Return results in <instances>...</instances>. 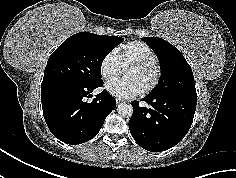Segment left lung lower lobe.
<instances>
[{
    "label": "left lung lower lobe",
    "mask_w": 236,
    "mask_h": 178,
    "mask_svg": "<svg viewBox=\"0 0 236 178\" xmlns=\"http://www.w3.org/2000/svg\"><path fill=\"white\" fill-rule=\"evenodd\" d=\"M151 108L131 102L133 115L129 121L135 141L150 152H161L178 144L189 131L197 97L148 95L143 99Z\"/></svg>",
    "instance_id": "1"
}]
</instances>
